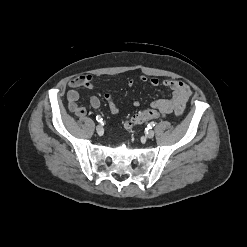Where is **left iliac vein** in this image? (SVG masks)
<instances>
[{"mask_svg": "<svg viewBox=\"0 0 247 247\" xmlns=\"http://www.w3.org/2000/svg\"><path fill=\"white\" fill-rule=\"evenodd\" d=\"M154 135H155V132H154L153 130H150V131L147 133L146 137L150 139V138H153Z\"/></svg>", "mask_w": 247, "mask_h": 247, "instance_id": "left-iliac-vein-1", "label": "left iliac vein"}]
</instances>
